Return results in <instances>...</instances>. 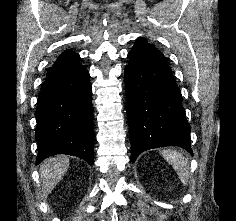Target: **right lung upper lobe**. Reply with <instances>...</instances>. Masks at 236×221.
<instances>
[{
	"label": "right lung upper lobe",
	"mask_w": 236,
	"mask_h": 221,
	"mask_svg": "<svg viewBox=\"0 0 236 221\" xmlns=\"http://www.w3.org/2000/svg\"><path fill=\"white\" fill-rule=\"evenodd\" d=\"M74 55H76L75 52H72L71 50H66L57 58V61L64 59V58H68L70 56H74Z\"/></svg>",
	"instance_id": "cb5924a9"
}]
</instances>
